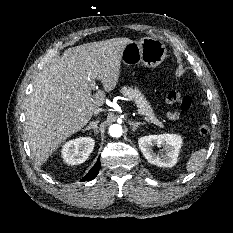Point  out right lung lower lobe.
<instances>
[{"label": "right lung lower lobe", "mask_w": 233, "mask_h": 233, "mask_svg": "<svg viewBox=\"0 0 233 233\" xmlns=\"http://www.w3.org/2000/svg\"><path fill=\"white\" fill-rule=\"evenodd\" d=\"M99 169H100V161L98 159L96 164L93 166V168L87 173V175H85L81 179V181L94 179L97 176Z\"/></svg>", "instance_id": "98d812e1"}]
</instances>
